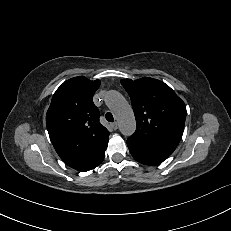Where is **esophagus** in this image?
Masks as SVG:
<instances>
[{"label":"esophagus","mask_w":231,"mask_h":231,"mask_svg":"<svg viewBox=\"0 0 231 231\" xmlns=\"http://www.w3.org/2000/svg\"><path fill=\"white\" fill-rule=\"evenodd\" d=\"M111 127L116 130L118 128V124L116 122L111 124Z\"/></svg>","instance_id":"1"}]
</instances>
